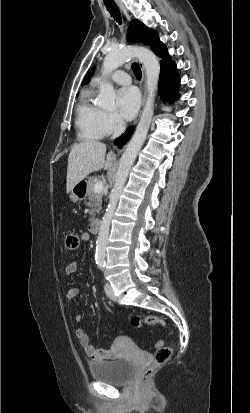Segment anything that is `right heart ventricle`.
<instances>
[{
    "label": "right heart ventricle",
    "instance_id": "obj_1",
    "mask_svg": "<svg viewBox=\"0 0 250 413\" xmlns=\"http://www.w3.org/2000/svg\"><path fill=\"white\" fill-rule=\"evenodd\" d=\"M93 85L85 89L80 97L76 110V133L82 141H92L102 138L101 116L102 110L94 104Z\"/></svg>",
    "mask_w": 250,
    "mask_h": 413
}]
</instances>
